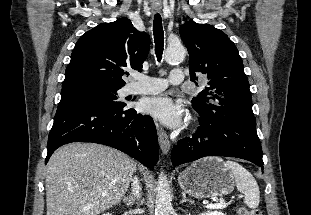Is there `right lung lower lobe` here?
Listing matches in <instances>:
<instances>
[{
    "label": "right lung lower lobe",
    "instance_id": "1",
    "mask_svg": "<svg viewBox=\"0 0 311 215\" xmlns=\"http://www.w3.org/2000/svg\"><path fill=\"white\" fill-rule=\"evenodd\" d=\"M78 141L114 147L149 168L158 161L154 121L150 116L137 114L132 108L59 107L49 133L45 163L58 147Z\"/></svg>",
    "mask_w": 311,
    "mask_h": 215
}]
</instances>
